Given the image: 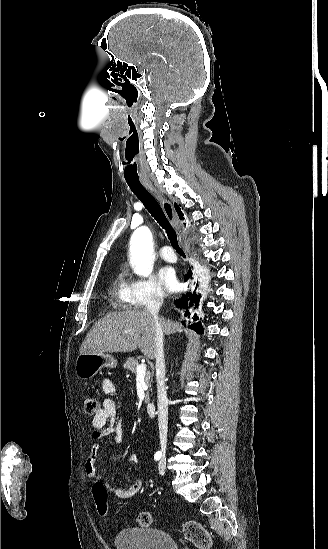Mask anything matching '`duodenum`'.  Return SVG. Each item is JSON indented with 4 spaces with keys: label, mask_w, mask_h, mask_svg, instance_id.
<instances>
[{
    "label": "duodenum",
    "mask_w": 328,
    "mask_h": 549,
    "mask_svg": "<svg viewBox=\"0 0 328 549\" xmlns=\"http://www.w3.org/2000/svg\"><path fill=\"white\" fill-rule=\"evenodd\" d=\"M146 411L150 417H154L157 412L156 405L153 402H149L146 404Z\"/></svg>",
    "instance_id": "duodenum-1"
}]
</instances>
